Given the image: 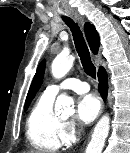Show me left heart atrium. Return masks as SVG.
Segmentation results:
<instances>
[{"label":"left heart atrium","instance_id":"1","mask_svg":"<svg viewBox=\"0 0 130 153\" xmlns=\"http://www.w3.org/2000/svg\"><path fill=\"white\" fill-rule=\"evenodd\" d=\"M100 111V102L93 94H85L77 101V117L84 123L92 122Z\"/></svg>","mask_w":130,"mask_h":153}]
</instances>
